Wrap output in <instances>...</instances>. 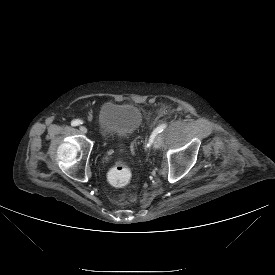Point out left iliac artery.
I'll return each instance as SVG.
<instances>
[{
  "mask_svg": "<svg viewBox=\"0 0 275 275\" xmlns=\"http://www.w3.org/2000/svg\"><path fill=\"white\" fill-rule=\"evenodd\" d=\"M167 127L166 124H161L159 125L151 134L150 136V141L152 142V140L155 138V136H157L159 133H161L165 128Z\"/></svg>",
  "mask_w": 275,
  "mask_h": 275,
  "instance_id": "1",
  "label": "left iliac artery"
}]
</instances>
